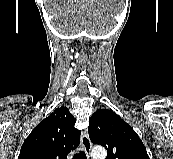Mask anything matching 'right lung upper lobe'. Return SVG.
I'll return each instance as SVG.
<instances>
[{
    "label": "right lung upper lobe",
    "instance_id": "1",
    "mask_svg": "<svg viewBox=\"0 0 173 159\" xmlns=\"http://www.w3.org/2000/svg\"><path fill=\"white\" fill-rule=\"evenodd\" d=\"M67 107L54 110L24 141L18 159H67L80 142L81 131Z\"/></svg>",
    "mask_w": 173,
    "mask_h": 159
}]
</instances>
